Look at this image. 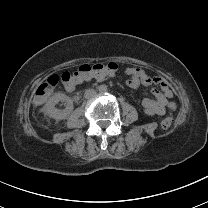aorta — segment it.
<instances>
[{"label": "aorta", "instance_id": "762f6f07", "mask_svg": "<svg viewBox=\"0 0 208 208\" xmlns=\"http://www.w3.org/2000/svg\"><path fill=\"white\" fill-rule=\"evenodd\" d=\"M98 93L100 94H106L108 92V87L106 85H100L97 88Z\"/></svg>", "mask_w": 208, "mask_h": 208}]
</instances>
